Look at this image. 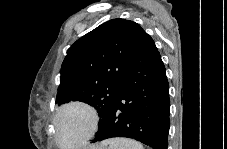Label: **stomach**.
<instances>
[{"instance_id":"stomach-1","label":"stomach","mask_w":227,"mask_h":149,"mask_svg":"<svg viewBox=\"0 0 227 149\" xmlns=\"http://www.w3.org/2000/svg\"><path fill=\"white\" fill-rule=\"evenodd\" d=\"M91 149H104V148H102V147H96V148H91Z\"/></svg>"}]
</instances>
